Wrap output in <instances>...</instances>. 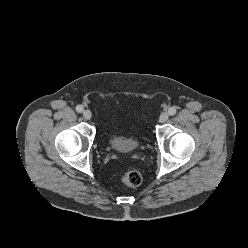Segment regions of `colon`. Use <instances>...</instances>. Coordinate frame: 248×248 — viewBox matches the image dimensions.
Returning a JSON list of instances; mask_svg holds the SVG:
<instances>
[{"instance_id": "5ec220e1", "label": "colon", "mask_w": 248, "mask_h": 248, "mask_svg": "<svg viewBox=\"0 0 248 248\" xmlns=\"http://www.w3.org/2000/svg\"><path fill=\"white\" fill-rule=\"evenodd\" d=\"M121 181L130 187L139 186L142 183V176L138 171L130 170L121 174Z\"/></svg>"}]
</instances>
